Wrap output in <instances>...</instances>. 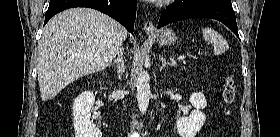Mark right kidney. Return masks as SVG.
<instances>
[{"label": "right kidney", "mask_w": 280, "mask_h": 137, "mask_svg": "<svg viewBox=\"0 0 280 137\" xmlns=\"http://www.w3.org/2000/svg\"><path fill=\"white\" fill-rule=\"evenodd\" d=\"M95 96L91 91H84L73 102V125L76 137H102L101 131L91 121V109Z\"/></svg>", "instance_id": "obj_1"}]
</instances>
